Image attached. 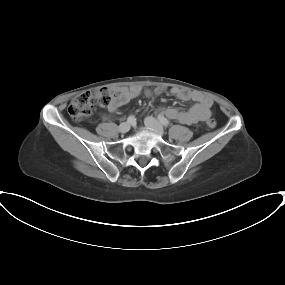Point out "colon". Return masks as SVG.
Masks as SVG:
<instances>
[{"label":"colon","mask_w":285,"mask_h":285,"mask_svg":"<svg viewBox=\"0 0 285 285\" xmlns=\"http://www.w3.org/2000/svg\"><path fill=\"white\" fill-rule=\"evenodd\" d=\"M116 93H112L107 89H102L97 92H84L73 98L71 101L68 113L75 121H81L90 116L96 107H105L109 105ZM209 128H215L217 121L210 118L206 121Z\"/></svg>","instance_id":"5ec220e1"}]
</instances>
